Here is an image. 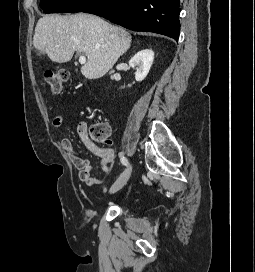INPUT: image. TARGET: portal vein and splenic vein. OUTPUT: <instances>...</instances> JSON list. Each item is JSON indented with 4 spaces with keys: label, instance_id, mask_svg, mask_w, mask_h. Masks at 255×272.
I'll return each mask as SVG.
<instances>
[{
    "label": "portal vein and splenic vein",
    "instance_id": "portal-vein-and-splenic-vein-1",
    "mask_svg": "<svg viewBox=\"0 0 255 272\" xmlns=\"http://www.w3.org/2000/svg\"><path fill=\"white\" fill-rule=\"evenodd\" d=\"M79 62H80L81 64H85V63H86V57H85L84 55H81V56L79 57Z\"/></svg>",
    "mask_w": 255,
    "mask_h": 272
}]
</instances>
